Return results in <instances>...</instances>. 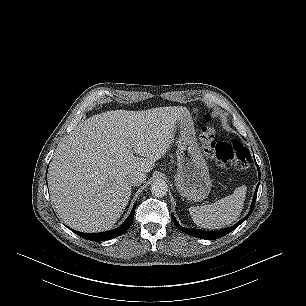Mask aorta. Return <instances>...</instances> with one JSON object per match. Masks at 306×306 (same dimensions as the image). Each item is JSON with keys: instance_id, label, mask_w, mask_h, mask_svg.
<instances>
[{"instance_id": "762f6f07", "label": "aorta", "mask_w": 306, "mask_h": 306, "mask_svg": "<svg viewBox=\"0 0 306 306\" xmlns=\"http://www.w3.org/2000/svg\"><path fill=\"white\" fill-rule=\"evenodd\" d=\"M150 190L152 195H154L155 197H163L167 194L168 186L163 180H155L151 184Z\"/></svg>"}]
</instances>
